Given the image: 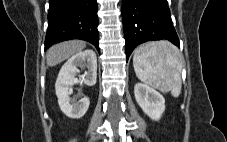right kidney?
Segmentation results:
<instances>
[{
	"label": "right kidney",
	"mask_w": 227,
	"mask_h": 142,
	"mask_svg": "<svg viewBox=\"0 0 227 142\" xmlns=\"http://www.w3.org/2000/svg\"><path fill=\"white\" fill-rule=\"evenodd\" d=\"M78 68L85 69V73L76 77L80 72ZM97 78V57L93 50H84L72 56L60 69L55 89L61 111L68 117L79 119L85 115L89 108V98L77 100L71 97L74 84L93 86Z\"/></svg>",
	"instance_id": "right-kidney-1"
}]
</instances>
